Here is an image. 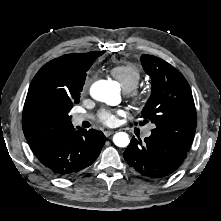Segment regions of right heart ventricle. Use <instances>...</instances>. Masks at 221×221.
Instances as JSON below:
<instances>
[{"instance_id":"right-heart-ventricle-1","label":"right heart ventricle","mask_w":221,"mask_h":221,"mask_svg":"<svg viewBox=\"0 0 221 221\" xmlns=\"http://www.w3.org/2000/svg\"><path fill=\"white\" fill-rule=\"evenodd\" d=\"M110 74L125 92H130L136 89L141 81L140 71L131 64L116 65L111 68Z\"/></svg>"}]
</instances>
